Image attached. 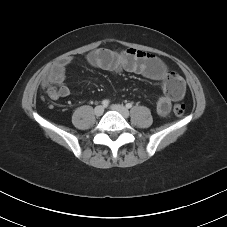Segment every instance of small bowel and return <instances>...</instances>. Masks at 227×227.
<instances>
[{
	"label": "small bowel",
	"mask_w": 227,
	"mask_h": 227,
	"mask_svg": "<svg viewBox=\"0 0 227 227\" xmlns=\"http://www.w3.org/2000/svg\"><path fill=\"white\" fill-rule=\"evenodd\" d=\"M87 61L93 67L107 71H127L143 75L149 79L162 81V95L159 97L156 110L159 116H166L173 101L180 100L184 95V82L179 76L173 77L166 64L157 56L137 50H115L98 48L87 55ZM69 59L53 65L44 75L43 81L56 85L52 99L70 95L69 87L64 83L65 69Z\"/></svg>",
	"instance_id": "small-bowel-1"
}]
</instances>
